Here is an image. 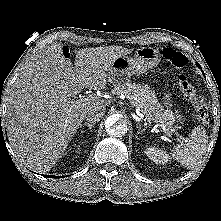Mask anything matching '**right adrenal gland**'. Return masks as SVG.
I'll list each match as a JSON object with an SVG mask.
<instances>
[{"label": "right adrenal gland", "instance_id": "2a0ac1e0", "mask_svg": "<svg viewBox=\"0 0 221 221\" xmlns=\"http://www.w3.org/2000/svg\"><path fill=\"white\" fill-rule=\"evenodd\" d=\"M95 124H90V123H84L83 125L81 124L80 127L82 128V126H87L89 128V130H91L94 127ZM82 132V131H81Z\"/></svg>", "mask_w": 221, "mask_h": 221}]
</instances>
